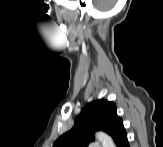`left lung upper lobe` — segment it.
<instances>
[{"label":"left lung upper lobe","instance_id":"obj_1","mask_svg":"<svg viewBox=\"0 0 163 147\" xmlns=\"http://www.w3.org/2000/svg\"><path fill=\"white\" fill-rule=\"evenodd\" d=\"M124 126L117 115L116 105L108 100H96L88 103L77 117L71 130L59 137L53 147H87L94 141V132L103 130L118 139Z\"/></svg>","mask_w":163,"mask_h":147}]
</instances>
